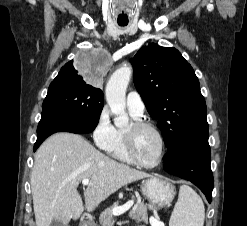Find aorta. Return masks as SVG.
Here are the masks:
<instances>
[{"instance_id":"762f6f07","label":"aorta","mask_w":247,"mask_h":226,"mask_svg":"<svg viewBox=\"0 0 247 226\" xmlns=\"http://www.w3.org/2000/svg\"><path fill=\"white\" fill-rule=\"evenodd\" d=\"M131 76V67L123 65L113 72L106 85V101L112 114L116 116L114 123L118 128L126 127L129 123L125 96Z\"/></svg>"}]
</instances>
